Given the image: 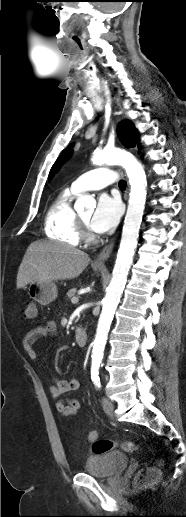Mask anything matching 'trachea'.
Masks as SVG:
<instances>
[{
	"mask_svg": "<svg viewBox=\"0 0 186 517\" xmlns=\"http://www.w3.org/2000/svg\"><path fill=\"white\" fill-rule=\"evenodd\" d=\"M119 188H121V189H125L126 188V182L124 180H121L119 182Z\"/></svg>",
	"mask_w": 186,
	"mask_h": 517,
	"instance_id": "3493384b",
	"label": "trachea"
}]
</instances>
